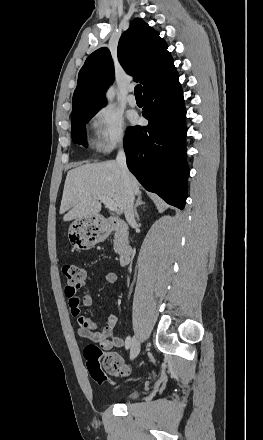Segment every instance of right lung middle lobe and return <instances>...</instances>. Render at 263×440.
I'll return each mask as SVG.
<instances>
[{
    "label": "right lung middle lobe",
    "instance_id": "obj_1",
    "mask_svg": "<svg viewBox=\"0 0 263 440\" xmlns=\"http://www.w3.org/2000/svg\"><path fill=\"white\" fill-rule=\"evenodd\" d=\"M97 112L98 110L87 112L72 118L71 134L74 143L87 146L85 125Z\"/></svg>",
    "mask_w": 263,
    "mask_h": 440
}]
</instances>
